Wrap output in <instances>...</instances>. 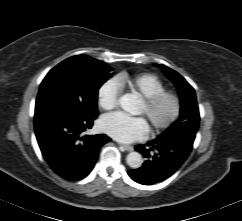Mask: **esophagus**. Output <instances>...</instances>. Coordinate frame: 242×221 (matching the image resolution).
<instances>
[{
  "mask_svg": "<svg viewBox=\"0 0 242 221\" xmlns=\"http://www.w3.org/2000/svg\"><path fill=\"white\" fill-rule=\"evenodd\" d=\"M121 148H123L125 151H128V152H131L134 150L133 146H130V145H123V144H120L119 145Z\"/></svg>",
  "mask_w": 242,
  "mask_h": 221,
  "instance_id": "obj_1",
  "label": "esophagus"
}]
</instances>
